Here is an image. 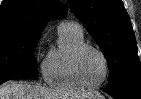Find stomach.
<instances>
[{
  "instance_id": "obj_1",
  "label": "stomach",
  "mask_w": 141,
  "mask_h": 99,
  "mask_svg": "<svg viewBox=\"0 0 141 99\" xmlns=\"http://www.w3.org/2000/svg\"><path fill=\"white\" fill-rule=\"evenodd\" d=\"M88 99H99L98 98V96L97 95H93V96H91L90 98H88Z\"/></svg>"
}]
</instances>
